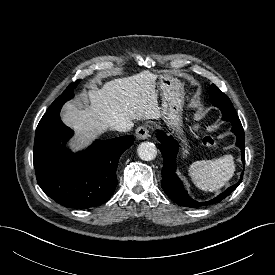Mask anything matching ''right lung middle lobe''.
Instances as JSON below:
<instances>
[{"label":"right lung middle lobe","instance_id":"obj_1","mask_svg":"<svg viewBox=\"0 0 275 275\" xmlns=\"http://www.w3.org/2000/svg\"><path fill=\"white\" fill-rule=\"evenodd\" d=\"M78 81L70 84L66 90L52 103L47 111L62 107V105L74 96L73 89L76 87Z\"/></svg>","mask_w":275,"mask_h":275}]
</instances>
